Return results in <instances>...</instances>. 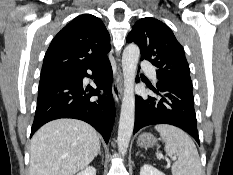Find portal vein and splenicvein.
Masks as SVG:
<instances>
[{
	"label": "portal vein and splenic vein",
	"mask_w": 233,
	"mask_h": 175,
	"mask_svg": "<svg viewBox=\"0 0 233 175\" xmlns=\"http://www.w3.org/2000/svg\"><path fill=\"white\" fill-rule=\"evenodd\" d=\"M171 159H172L173 161H174V160H176V158H175V157H172Z\"/></svg>",
	"instance_id": "18ae733b"
}]
</instances>
